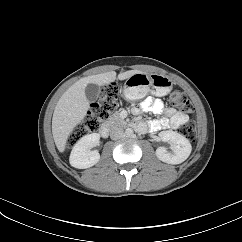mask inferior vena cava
Segmentation results:
<instances>
[{"mask_svg": "<svg viewBox=\"0 0 242 242\" xmlns=\"http://www.w3.org/2000/svg\"><path fill=\"white\" fill-rule=\"evenodd\" d=\"M123 134V130L120 127H113L110 131V137L113 140L121 138Z\"/></svg>", "mask_w": 242, "mask_h": 242, "instance_id": "obj_1", "label": "inferior vena cava"}]
</instances>
